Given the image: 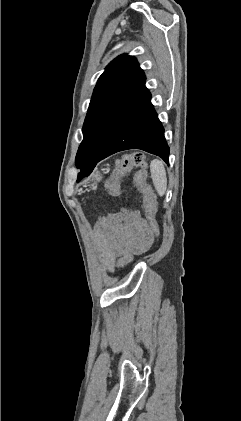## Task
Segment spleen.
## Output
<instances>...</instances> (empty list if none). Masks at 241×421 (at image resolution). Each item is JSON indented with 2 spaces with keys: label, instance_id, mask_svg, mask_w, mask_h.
I'll return each mask as SVG.
<instances>
[{
  "label": "spleen",
  "instance_id": "spleen-1",
  "mask_svg": "<svg viewBox=\"0 0 241 421\" xmlns=\"http://www.w3.org/2000/svg\"><path fill=\"white\" fill-rule=\"evenodd\" d=\"M150 170L154 187L159 196H163L167 189V177L163 162L157 159L152 160Z\"/></svg>",
  "mask_w": 241,
  "mask_h": 421
}]
</instances>
